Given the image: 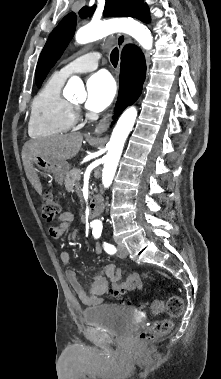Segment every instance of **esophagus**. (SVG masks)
<instances>
[{
    "label": "esophagus",
    "instance_id": "1",
    "mask_svg": "<svg viewBox=\"0 0 221 379\" xmlns=\"http://www.w3.org/2000/svg\"><path fill=\"white\" fill-rule=\"evenodd\" d=\"M131 42H132L131 38L127 35L118 34L116 37V43L120 52L122 51V49L124 48L126 44L131 43ZM110 118H111V113L100 120L99 124L96 126L94 130L95 135H101L107 130L110 124Z\"/></svg>",
    "mask_w": 221,
    "mask_h": 379
}]
</instances>
